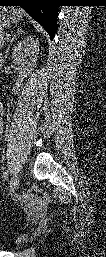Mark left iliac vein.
Listing matches in <instances>:
<instances>
[{"label":"left iliac vein","instance_id":"left-iliac-vein-1","mask_svg":"<svg viewBox=\"0 0 106 257\" xmlns=\"http://www.w3.org/2000/svg\"><path fill=\"white\" fill-rule=\"evenodd\" d=\"M20 182L19 170H15L12 181L10 183V191L14 192Z\"/></svg>","mask_w":106,"mask_h":257}]
</instances>
